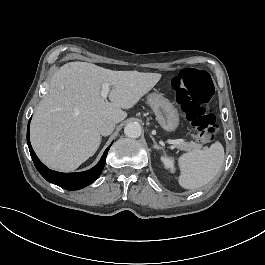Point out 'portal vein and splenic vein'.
<instances>
[{
  "label": "portal vein and splenic vein",
  "mask_w": 265,
  "mask_h": 265,
  "mask_svg": "<svg viewBox=\"0 0 265 265\" xmlns=\"http://www.w3.org/2000/svg\"><path fill=\"white\" fill-rule=\"evenodd\" d=\"M110 84L105 82L102 84V89H101V97L103 99H106L107 96H108V93L110 91V88H109ZM181 142H183V139H175V140H168V143L169 144H180Z\"/></svg>",
  "instance_id": "portal-vein-and-splenic-vein-1"
}]
</instances>
